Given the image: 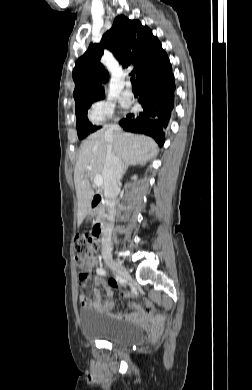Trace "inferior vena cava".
Here are the masks:
<instances>
[{"instance_id":"1","label":"inferior vena cava","mask_w":252,"mask_h":390,"mask_svg":"<svg viewBox=\"0 0 252 390\" xmlns=\"http://www.w3.org/2000/svg\"><path fill=\"white\" fill-rule=\"evenodd\" d=\"M119 130L120 127L112 126L106 131V135L111 136L113 131ZM123 169V161L114 154V152L112 151V145L108 144L107 156L102 170V175L104 178L105 205L110 214L114 213L116 197L119 192V183L122 178ZM111 235L112 229L106 227L104 229L102 237V252H111Z\"/></svg>"}]
</instances>
